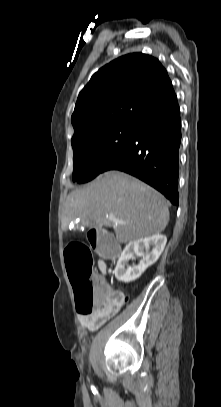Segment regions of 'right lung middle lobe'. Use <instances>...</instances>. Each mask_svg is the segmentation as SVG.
<instances>
[{
    "label": "right lung middle lobe",
    "instance_id": "dd1d6c3e",
    "mask_svg": "<svg viewBox=\"0 0 221 407\" xmlns=\"http://www.w3.org/2000/svg\"><path fill=\"white\" fill-rule=\"evenodd\" d=\"M136 124H120L92 132L72 143L73 181L85 183L103 172L126 145Z\"/></svg>",
    "mask_w": 221,
    "mask_h": 407
}]
</instances>
